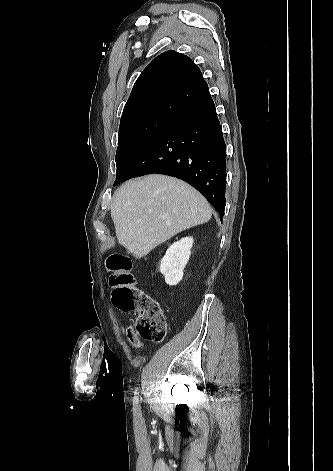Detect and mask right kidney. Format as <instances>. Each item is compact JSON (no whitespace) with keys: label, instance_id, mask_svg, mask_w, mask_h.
Returning <instances> with one entry per match:
<instances>
[{"label":"right kidney","instance_id":"obj_1","mask_svg":"<svg viewBox=\"0 0 333 471\" xmlns=\"http://www.w3.org/2000/svg\"><path fill=\"white\" fill-rule=\"evenodd\" d=\"M193 238L185 237L173 243L161 259L160 272L165 277V282L170 286L177 285L183 277V270L188 263Z\"/></svg>","mask_w":333,"mask_h":471}]
</instances>
